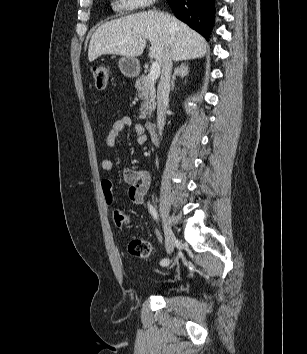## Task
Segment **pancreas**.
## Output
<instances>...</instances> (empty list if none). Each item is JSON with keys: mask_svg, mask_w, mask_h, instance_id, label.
I'll return each mask as SVG.
<instances>
[{"mask_svg": "<svg viewBox=\"0 0 307 354\" xmlns=\"http://www.w3.org/2000/svg\"><path fill=\"white\" fill-rule=\"evenodd\" d=\"M138 96L141 99L140 119L151 115L156 107L155 81L149 79L148 75L140 77L135 84Z\"/></svg>", "mask_w": 307, "mask_h": 354, "instance_id": "pancreas-1", "label": "pancreas"}]
</instances>
